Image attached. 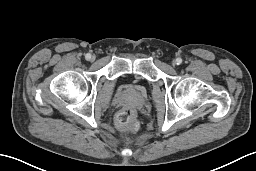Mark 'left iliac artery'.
I'll use <instances>...</instances> for the list:
<instances>
[{
    "label": "left iliac artery",
    "instance_id": "left-iliac-artery-1",
    "mask_svg": "<svg viewBox=\"0 0 256 171\" xmlns=\"http://www.w3.org/2000/svg\"><path fill=\"white\" fill-rule=\"evenodd\" d=\"M176 61H177L178 65L182 63V59L181 58H177Z\"/></svg>",
    "mask_w": 256,
    "mask_h": 171
}]
</instances>
